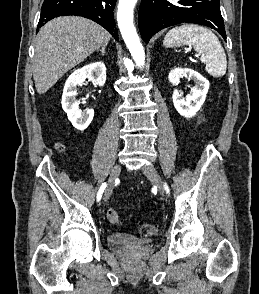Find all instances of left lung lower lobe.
Returning <instances> with one entry per match:
<instances>
[{
  "label": "left lung lower lobe",
  "instance_id": "0a47b994",
  "mask_svg": "<svg viewBox=\"0 0 259 294\" xmlns=\"http://www.w3.org/2000/svg\"><path fill=\"white\" fill-rule=\"evenodd\" d=\"M183 22L215 29L226 40L219 0H142L138 24L146 43L161 29Z\"/></svg>",
  "mask_w": 259,
  "mask_h": 294
}]
</instances>
